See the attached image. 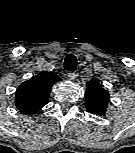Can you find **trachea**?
Returning <instances> with one entry per match:
<instances>
[{
    "mask_svg": "<svg viewBox=\"0 0 135 153\" xmlns=\"http://www.w3.org/2000/svg\"><path fill=\"white\" fill-rule=\"evenodd\" d=\"M77 67V59L75 55L73 54H68L65 59H64V68L67 71H75Z\"/></svg>",
    "mask_w": 135,
    "mask_h": 153,
    "instance_id": "trachea-1",
    "label": "trachea"
}]
</instances>
